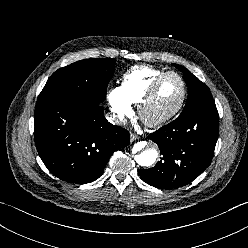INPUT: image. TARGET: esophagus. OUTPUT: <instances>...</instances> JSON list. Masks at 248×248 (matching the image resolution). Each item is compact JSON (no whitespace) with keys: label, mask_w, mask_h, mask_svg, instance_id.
I'll return each mask as SVG.
<instances>
[{"label":"esophagus","mask_w":248,"mask_h":248,"mask_svg":"<svg viewBox=\"0 0 248 248\" xmlns=\"http://www.w3.org/2000/svg\"><path fill=\"white\" fill-rule=\"evenodd\" d=\"M138 139H139V136H137L136 134H134V133L130 134V141L131 142H134V141H136Z\"/></svg>","instance_id":"34e87169"}]
</instances>
